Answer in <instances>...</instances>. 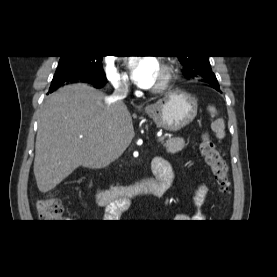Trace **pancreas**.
<instances>
[{"label":"pancreas","instance_id":"obj_1","mask_svg":"<svg viewBox=\"0 0 277 277\" xmlns=\"http://www.w3.org/2000/svg\"><path fill=\"white\" fill-rule=\"evenodd\" d=\"M168 153L175 154L183 150L186 146L183 138H169L163 143Z\"/></svg>","mask_w":277,"mask_h":277}]
</instances>
